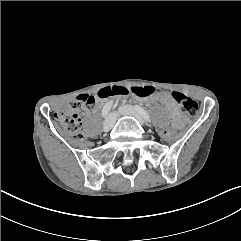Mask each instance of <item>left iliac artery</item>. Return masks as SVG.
<instances>
[{
    "mask_svg": "<svg viewBox=\"0 0 241 241\" xmlns=\"http://www.w3.org/2000/svg\"><path fill=\"white\" fill-rule=\"evenodd\" d=\"M135 109L138 111V113H139L147 122H150V121H151L150 116L148 115V113H147L142 107L135 106Z\"/></svg>",
    "mask_w": 241,
    "mask_h": 241,
    "instance_id": "44dca946",
    "label": "left iliac artery"
}]
</instances>
